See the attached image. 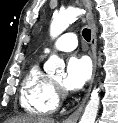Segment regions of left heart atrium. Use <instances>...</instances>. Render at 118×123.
<instances>
[{
  "label": "left heart atrium",
  "mask_w": 118,
  "mask_h": 123,
  "mask_svg": "<svg viewBox=\"0 0 118 123\" xmlns=\"http://www.w3.org/2000/svg\"><path fill=\"white\" fill-rule=\"evenodd\" d=\"M91 75V65L85 56H72L68 59L66 75L62 85L69 91H75L84 86Z\"/></svg>",
  "instance_id": "39dd6f15"
}]
</instances>
